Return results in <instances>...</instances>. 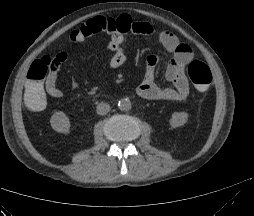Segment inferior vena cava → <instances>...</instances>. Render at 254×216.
Segmentation results:
<instances>
[{"label": "inferior vena cava", "mask_w": 254, "mask_h": 216, "mask_svg": "<svg viewBox=\"0 0 254 216\" xmlns=\"http://www.w3.org/2000/svg\"><path fill=\"white\" fill-rule=\"evenodd\" d=\"M97 114L106 115L110 111V105L105 102H101L97 105Z\"/></svg>", "instance_id": "inferior-vena-cava-1"}]
</instances>
